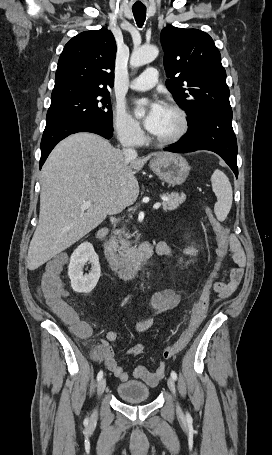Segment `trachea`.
<instances>
[{"mask_svg": "<svg viewBox=\"0 0 272 455\" xmlns=\"http://www.w3.org/2000/svg\"><path fill=\"white\" fill-rule=\"evenodd\" d=\"M138 27H142L146 19V7H132Z\"/></svg>", "mask_w": 272, "mask_h": 455, "instance_id": "obj_1", "label": "trachea"}]
</instances>
